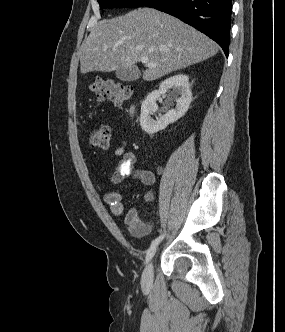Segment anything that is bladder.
<instances>
[{"instance_id": "1", "label": "bladder", "mask_w": 285, "mask_h": 332, "mask_svg": "<svg viewBox=\"0 0 285 332\" xmlns=\"http://www.w3.org/2000/svg\"><path fill=\"white\" fill-rule=\"evenodd\" d=\"M128 228L132 234L140 236L147 233L150 229V226L148 224L137 222L135 224H129Z\"/></svg>"}]
</instances>
